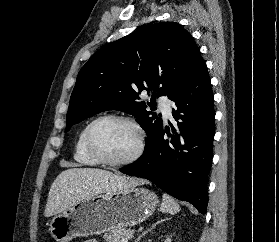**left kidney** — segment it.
I'll use <instances>...</instances> for the list:
<instances>
[{"label": "left kidney", "mask_w": 279, "mask_h": 242, "mask_svg": "<svg viewBox=\"0 0 279 242\" xmlns=\"http://www.w3.org/2000/svg\"><path fill=\"white\" fill-rule=\"evenodd\" d=\"M165 242H171V239L168 237Z\"/></svg>", "instance_id": "1"}]
</instances>
